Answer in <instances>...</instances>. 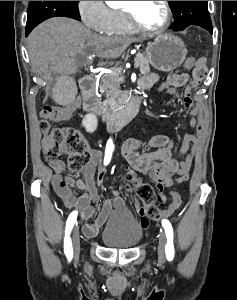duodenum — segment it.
<instances>
[{"mask_svg": "<svg viewBox=\"0 0 237 300\" xmlns=\"http://www.w3.org/2000/svg\"><path fill=\"white\" fill-rule=\"evenodd\" d=\"M80 88L84 109L98 120L102 129L107 133H113L122 129L138 112L142 104L140 93L137 92L120 115L107 116L102 111L96 95L95 79L90 75L84 76L80 81Z\"/></svg>", "mask_w": 237, "mask_h": 300, "instance_id": "1", "label": "duodenum"}]
</instances>
